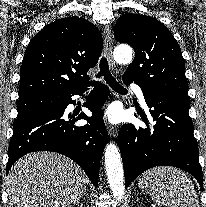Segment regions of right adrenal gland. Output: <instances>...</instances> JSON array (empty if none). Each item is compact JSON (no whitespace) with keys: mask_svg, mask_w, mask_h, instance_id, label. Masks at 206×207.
I'll return each instance as SVG.
<instances>
[{"mask_svg":"<svg viewBox=\"0 0 206 207\" xmlns=\"http://www.w3.org/2000/svg\"><path fill=\"white\" fill-rule=\"evenodd\" d=\"M84 195H86V196H87V195H88V191H85Z\"/></svg>","mask_w":206,"mask_h":207,"instance_id":"2a0ac1e0","label":"right adrenal gland"}]
</instances>
